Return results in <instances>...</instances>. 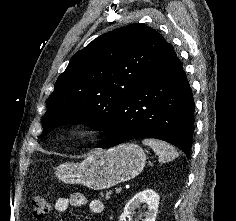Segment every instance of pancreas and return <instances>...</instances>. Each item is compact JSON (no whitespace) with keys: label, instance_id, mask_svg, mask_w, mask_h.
<instances>
[{"label":"pancreas","instance_id":"cf45deb5","mask_svg":"<svg viewBox=\"0 0 236 221\" xmlns=\"http://www.w3.org/2000/svg\"><path fill=\"white\" fill-rule=\"evenodd\" d=\"M110 195H111V192H107L105 195H102V197L105 198V200H109Z\"/></svg>","mask_w":236,"mask_h":221}]
</instances>
